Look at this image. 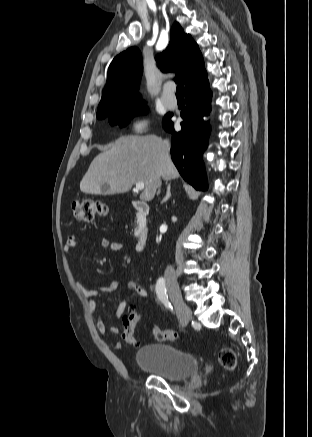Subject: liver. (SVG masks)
<instances>
[{
    "mask_svg": "<svg viewBox=\"0 0 312 437\" xmlns=\"http://www.w3.org/2000/svg\"><path fill=\"white\" fill-rule=\"evenodd\" d=\"M179 177L164 141L155 135L122 136L112 147L91 162L80 190L86 194H116L128 192L134 183L143 182L140 199L151 201L160 178ZM107 185L109 189L103 190Z\"/></svg>",
    "mask_w": 312,
    "mask_h": 437,
    "instance_id": "obj_1",
    "label": "liver"
}]
</instances>
